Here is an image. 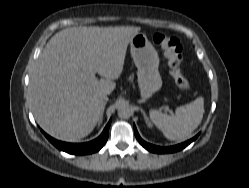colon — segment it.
I'll use <instances>...</instances> for the list:
<instances>
[{
  "label": "colon",
  "mask_w": 249,
  "mask_h": 188,
  "mask_svg": "<svg viewBox=\"0 0 249 188\" xmlns=\"http://www.w3.org/2000/svg\"><path fill=\"white\" fill-rule=\"evenodd\" d=\"M153 42L164 51L170 73L176 85L181 90H189L190 83L184 77L181 70L183 47L179 39L163 33H156L153 35Z\"/></svg>",
  "instance_id": "obj_1"
}]
</instances>
